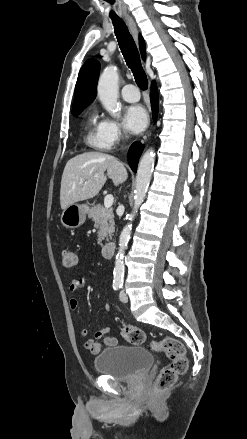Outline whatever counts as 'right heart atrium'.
I'll use <instances>...</instances> for the list:
<instances>
[{"instance_id": "d8ad5b80", "label": "right heart atrium", "mask_w": 247, "mask_h": 439, "mask_svg": "<svg viewBox=\"0 0 247 439\" xmlns=\"http://www.w3.org/2000/svg\"><path fill=\"white\" fill-rule=\"evenodd\" d=\"M103 134L110 146L117 144L125 135L122 125L113 119L103 120Z\"/></svg>"}]
</instances>
